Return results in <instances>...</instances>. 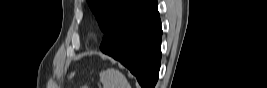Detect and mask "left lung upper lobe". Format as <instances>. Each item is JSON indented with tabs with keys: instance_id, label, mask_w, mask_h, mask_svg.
I'll use <instances>...</instances> for the list:
<instances>
[{
	"instance_id": "1",
	"label": "left lung upper lobe",
	"mask_w": 267,
	"mask_h": 88,
	"mask_svg": "<svg viewBox=\"0 0 267 88\" xmlns=\"http://www.w3.org/2000/svg\"><path fill=\"white\" fill-rule=\"evenodd\" d=\"M141 0H87L101 30L107 32L120 16Z\"/></svg>"
}]
</instances>
